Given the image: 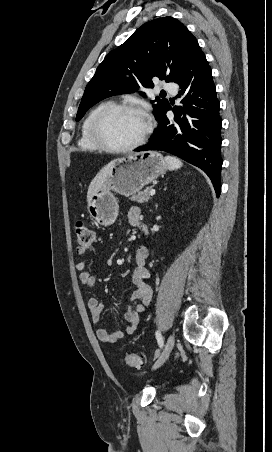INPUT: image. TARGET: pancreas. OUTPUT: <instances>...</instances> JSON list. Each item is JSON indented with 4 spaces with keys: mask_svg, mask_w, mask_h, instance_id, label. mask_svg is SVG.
Masks as SVG:
<instances>
[{
    "mask_svg": "<svg viewBox=\"0 0 272 452\" xmlns=\"http://www.w3.org/2000/svg\"><path fill=\"white\" fill-rule=\"evenodd\" d=\"M151 189H152L151 187H147L143 191H140L137 194L130 197V200L137 203L148 202L150 199L149 192L151 191Z\"/></svg>",
    "mask_w": 272,
    "mask_h": 452,
    "instance_id": "obj_1",
    "label": "pancreas"
}]
</instances>
